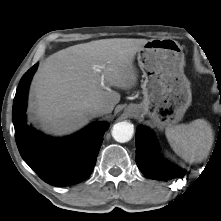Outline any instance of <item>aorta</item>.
I'll return each mask as SVG.
<instances>
[{
  "mask_svg": "<svg viewBox=\"0 0 221 221\" xmlns=\"http://www.w3.org/2000/svg\"><path fill=\"white\" fill-rule=\"evenodd\" d=\"M133 133V125L127 121L118 122L112 128L113 138L120 143H125L131 140Z\"/></svg>",
  "mask_w": 221,
  "mask_h": 221,
  "instance_id": "aorta-1",
  "label": "aorta"
}]
</instances>
